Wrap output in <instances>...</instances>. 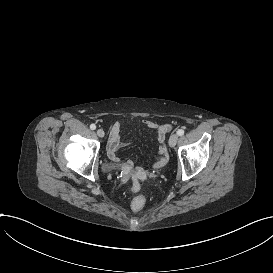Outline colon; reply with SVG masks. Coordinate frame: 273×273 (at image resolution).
Here are the masks:
<instances>
[{
  "mask_svg": "<svg viewBox=\"0 0 273 273\" xmlns=\"http://www.w3.org/2000/svg\"><path fill=\"white\" fill-rule=\"evenodd\" d=\"M148 195L146 192L141 191L136 194L135 200L130 204V210L134 213L140 211L141 208L145 207L147 204Z\"/></svg>",
  "mask_w": 273,
  "mask_h": 273,
  "instance_id": "obj_1",
  "label": "colon"
}]
</instances>
